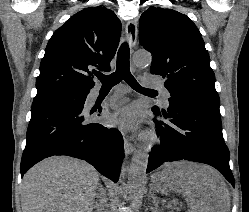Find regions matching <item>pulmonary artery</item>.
Wrapping results in <instances>:
<instances>
[{"label": "pulmonary artery", "instance_id": "1", "mask_svg": "<svg viewBox=\"0 0 249 212\" xmlns=\"http://www.w3.org/2000/svg\"><path fill=\"white\" fill-rule=\"evenodd\" d=\"M150 88H157V89H160L161 91V95H162V99L164 101V103L168 106L169 105V98H170V93L168 91V89L166 87H164L163 84H156V85H150L149 86ZM97 93H98V89H93L91 94H90V97L91 99H94L96 96H97Z\"/></svg>", "mask_w": 249, "mask_h": 212}]
</instances>
